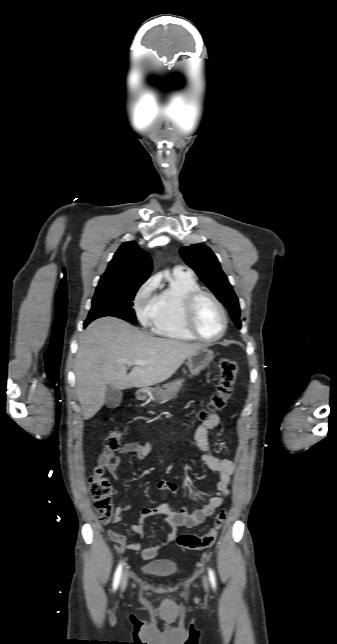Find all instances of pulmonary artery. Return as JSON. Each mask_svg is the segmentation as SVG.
Here are the masks:
<instances>
[{"instance_id": "1", "label": "pulmonary artery", "mask_w": 337, "mask_h": 644, "mask_svg": "<svg viewBox=\"0 0 337 644\" xmlns=\"http://www.w3.org/2000/svg\"><path fill=\"white\" fill-rule=\"evenodd\" d=\"M177 269H181V270H183V267H178Z\"/></svg>"}]
</instances>
